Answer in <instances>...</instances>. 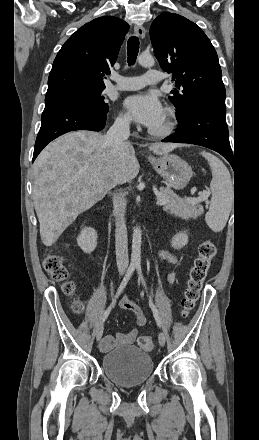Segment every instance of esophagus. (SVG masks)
Returning <instances> with one entry per match:
<instances>
[{"label": "esophagus", "instance_id": "34e87169", "mask_svg": "<svg viewBox=\"0 0 259 440\" xmlns=\"http://www.w3.org/2000/svg\"><path fill=\"white\" fill-rule=\"evenodd\" d=\"M134 34L139 37V38H144L145 37V29L143 26L141 25H135L134 27Z\"/></svg>", "mask_w": 259, "mask_h": 440}]
</instances>
